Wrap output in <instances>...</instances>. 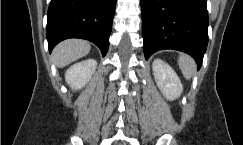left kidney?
Wrapping results in <instances>:
<instances>
[{
  "label": "left kidney",
  "mask_w": 243,
  "mask_h": 145,
  "mask_svg": "<svg viewBox=\"0 0 243 145\" xmlns=\"http://www.w3.org/2000/svg\"><path fill=\"white\" fill-rule=\"evenodd\" d=\"M156 83L168 100L180 97L183 86L175 71L161 59H155L152 64Z\"/></svg>",
  "instance_id": "left-kidney-1"
}]
</instances>
